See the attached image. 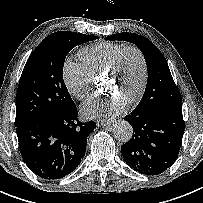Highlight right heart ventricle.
<instances>
[{
	"mask_svg": "<svg viewBox=\"0 0 203 203\" xmlns=\"http://www.w3.org/2000/svg\"><path fill=\"white\" fill-rule=\"evenodd\" d=\"M124 46L121 43L97 42L80 49L78 56L93 77L104 72L114 56Z\"/></svg>",
	"mask_w": 203,
	"mask_h": 203,
	"instance_id": "1",
	"label": "right heart ventricle"
}]
</instances>
